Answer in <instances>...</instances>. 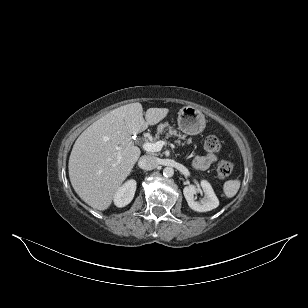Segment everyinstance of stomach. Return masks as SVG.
Instances as JSON below:
<instances>
[{
	"label": "stomach",
	"instance_id": "stomach-1",
	"mask_svg": "<svg viewBox=\"0 0 308 308\" xmlns=\"http://www.w3.org/2000/svg\"><path fill=\"white\" fill-rule=\"evenodd\" d=\"M178 127L185 134L196 135L201 133L206 125L203 113L192 107H183L178 113Z\"/></svg>",
	"mask_w": 308,
	"mask_h": 308
}]
</instances>
